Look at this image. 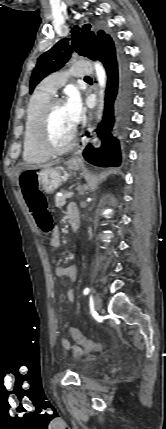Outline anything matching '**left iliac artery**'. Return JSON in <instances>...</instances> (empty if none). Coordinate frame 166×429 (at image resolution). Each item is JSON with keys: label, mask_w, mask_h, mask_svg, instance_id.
<instances>
[{"label": "left iliac artery", "mask_w": 166, "mask_h": 429, "mask_svg": "<svg viewBox=\"0 0 166 429\" xmlns=\"http://www.w3.org/2000/svg\"><path fill=\"white\" fill-rule=\"evenodd\" d=\"M89 292H90V289L89 288H85L84 291H83V294L87 295Z\"/></svg>", "instance_id": "44dca946"}]
</instances>
